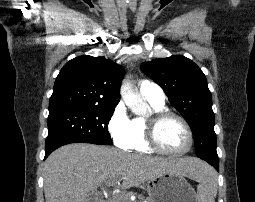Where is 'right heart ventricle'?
I'll list each match as a JSON object with an SVG mask.
<instances>
[{"mask_svg": "<svg viewBox=\"0 0 255 202\" xmlns=\"http://www.w3.org/2000/svg\"><path fill=\"white\" fill-rule=\"evenodd\" d=\"M153 111L165 110L164 104H156L148 101ZM145 120L144 117H136L131 120V141L128 149L150 153L153 150L148 146L145 139Z\"/></svg>", "mask_w": 255, "mask_h": 202, "instance_id": "1", "label": "right heart ventricle"}]
</instances>
